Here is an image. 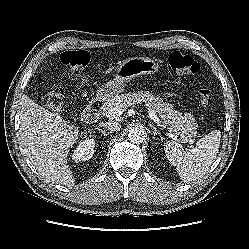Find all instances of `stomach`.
Instances as JSON below:
<instances>
[{"mask_svg":"<svg viewBox=\"0 0 249 249\" xmlns=\"http://www.w3.org/2000/svg\"><path fill=\"white\" fill-rule=\"evenodd\" d=\"M160 65L148 57H132L121 61L116 67L113 79L102 84L97 90V96L110 99L124 91L125 86L140 75H151L160 71Z\"/></svg>","mask_w":249,"mask_h":249,"instance_id":"0dacf381","label":"stomach"}]
</instances>
